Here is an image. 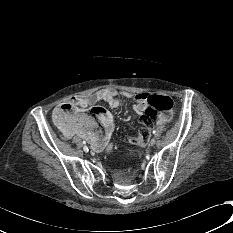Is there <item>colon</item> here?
Wrapping results in <instances>:
<instances>
[{"instance_id":"obj_1","label":"colon","mask_w":233,"mask_h":233,"mask_svg":"<svg viewBox=\"0 0 233 233\" xmlns=\"http://www.w3.org/2000/svg\"><path fill=\"white\" fill-rule=\"evenodd\" d=\"M136 108L143 112L141 119V127L134 143L137 145L144 144L150 137L151 123L154 119L165 116L169 118L173 107V101L166 95H150L148 93H141L135 99ZM75 114L74 107L69 103H64L58 107L57 113L54 116L56 123L62 127H69L71 125L70 117ZM94 117L101 119H108L110 113L103 107H94L89 114H79L77 118V125L81 127L94 126Z\"/></svg>"}]
</instances>
